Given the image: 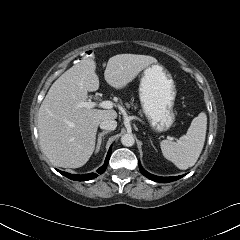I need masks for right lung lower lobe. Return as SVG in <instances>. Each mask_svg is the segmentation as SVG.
Instances as JSON below:
<instances>
[{"instance_id":"obj_1","label":"right lung lower lobe","mask_w":240,"mask_h":240,"mask_svg":"<svg viewBox=\"0 0 240 240\" xmlns=\"http://www.w3.org/2000/svg\"><path fill=\"white\" fill-rule=\"evenodd\" d=\"M110 155H111V147H110V149L108 151V154L106 156L104 165L101 166L97 170V172L99 174H102L106 170V167L108 165V161H109ZM57 171L59 173H61L62 175L66 176L67 178L72 179V180H76V181H87V180H91V179H93V178L98 176L95 173H90V174H85V175H75V174H70V173H67V172L60 171V170H57Z\"/></svg>"}]
</instances>
